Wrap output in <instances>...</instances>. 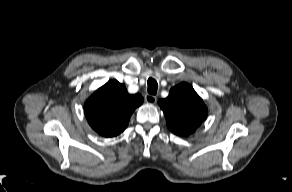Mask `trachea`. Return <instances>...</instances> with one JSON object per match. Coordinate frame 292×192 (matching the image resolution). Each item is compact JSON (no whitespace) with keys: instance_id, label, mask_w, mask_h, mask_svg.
Masks as SVG:
<instances>
[{"instance_id":"trachea-1","label":"trachea","mask_w":292,"mask_h":192,"mask_svg":"<svg viewBox=\"0 0 292 192\" xmlns=\"http://www.w3.org/2000/svg\"><path fill=\"white\" fill-rule=\"evenodd\" d=\"M148 84V93L155 95L157 93L158 84L157 81L153 78H149L147 81Z\"/></svg>"}]
</instances>
